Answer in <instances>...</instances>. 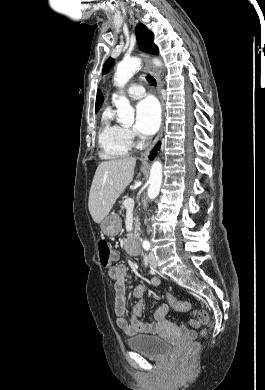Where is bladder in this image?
Wrapping results in <instances>:
<instances>
[{"mask_svg":"<svg viewBox=\"0 0 265 390\" xmlns=\"http://www.w3.org/2000/svg\"><path fill=\"white\" fill-rule=\"evenodd\" d=\"M126 343L131 350L152 359H161L171 351L170 343L154 335H136Z\"/></svg>","mask_w":265,"mask_h":390,"instance_id":"1","label":"bladder"}]
</instances>
